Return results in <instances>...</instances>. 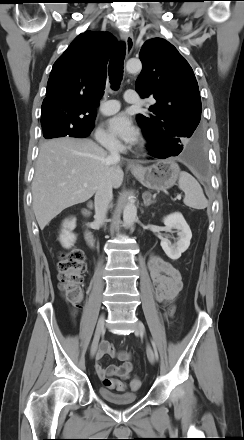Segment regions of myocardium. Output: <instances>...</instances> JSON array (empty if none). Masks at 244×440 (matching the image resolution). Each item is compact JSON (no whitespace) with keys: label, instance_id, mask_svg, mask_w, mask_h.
I'll return each instance as SVG.
<instances>
[{"label":"myocardium","instance_id":"obj_1","mask_svg":"<svg viewBox=\"0 0 244 440\" xmlns=\"http://www.w3.org/2000/svg\"><path fill=\"white\" fill-rule=\"evenodd\" d=\"M142 146L145 144V141L144 140H142L141 141V143H140Z\"/></svg>","mask_w":244,"mask_h":440}]
</instances>
